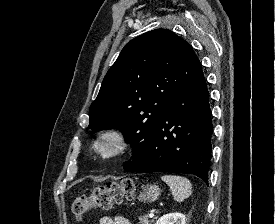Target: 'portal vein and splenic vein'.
Segmentation results:
<instances>
[{"mask_svg":"<svg viewBox=\"0 0 275 224\" xmlns=\"http://www.w3.org/2000/svg\"><path fill=\"white\" fill-rule=\"evenodd\" d=\"M152 217H154L153 211H151V212L149 213V218H152Z\"/></svg>","mask_w":275,"mask_h":224,"instance_id":"obj_1","label":"portal vein and splenic vein"}]
</instances>
